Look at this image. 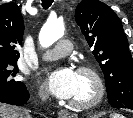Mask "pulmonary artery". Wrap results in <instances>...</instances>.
<instances>
[{"instance_id":"1","label":"pulmonary artery","mask_w":133,"mask_h":118,"mask_svg":"<svg viewBox=\"0 0 133 118\" xmlns=\"http://www.w3.org/2000/svg\"><path fill=\"white\" fill-rule=\"evenodd\" d=\"M71 50H72L71 41L67 39H62L57 42V44L53 49L43 54L42 58L44 60H58L66 57Z\"/></svg>"}]
</instances>
